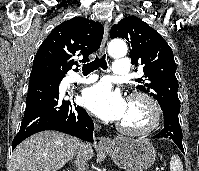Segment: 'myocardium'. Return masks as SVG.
Here are the masks:
<instances>
[{"instance_id":"f54148a6","label":"myocardium","mask_w":199,"mask_h":171,"mask_svg":"<svg viewBox=\"0 0 199 171\" xmlns=\"http://www.w3.org/2000/svg\"><path fill=\"white\" fill-rule=\"evenodd\" d=\"M138 101L145 105L148 112V121L140 127H129L121 122L117 124V130L129 136H144L157 129L161 121V110L157 101L148 93L136 91L128 96V102Z\"/></svg>"}]
</instances>
